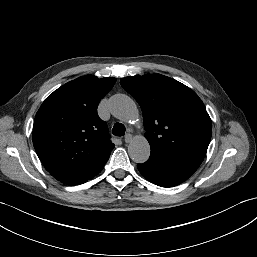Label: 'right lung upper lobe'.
Segmentation results:
<instances>
[{"mask_svg": "<svg viewBox=\"0 0 257 257\" xmlns=\"http://www.w3.org/2000/svg\"><path fill=\"white\" fill-rule=\"evenodd\" d=\"M115 82L111 77H79L54 91L39 108L33 145L44 167L60 182L82 183L108 161L114 144L97 106Z\"/></svg>", "mask_w": 257, "mask_h": 257, "instance_id": "1", "label": "right lung upper lobe"}]
</instances>
